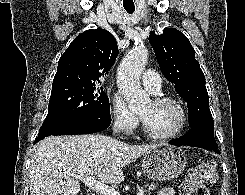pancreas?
<instances>
[{
	"label": "pancreas",
	"instance_id": "obj_1",
	"mask_svg": "<svg viewBox=\"0 0 245 195\" xmlns=\"http://www.w3.org/2000/svg\"><path fill=\"white\" fill-rule=\"evenodd\" d=\"M157 184L156 183H150L146 185L147 191L150 193L152 191H154L157 188Z\"/></svg>",
	"mask_w": 245,
	"mask_h": 195
}]
</instances>
